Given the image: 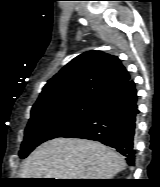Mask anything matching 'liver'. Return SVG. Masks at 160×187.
<instances>
[{"mask_svg":"<svg viewBox=\"0 0 160 187\" xmlns=\"http://www.w3.org/2000/svg\"><path fill=\"white\" fill-rule=\"evenodd\" d=\"M125 165L118 152L99 142L55 138L26 158L20 178L111 179Z\"/></svg>","mask_w":160,"mask_h":187,"instance_id":"1","label":"liver"}]
</instances>
